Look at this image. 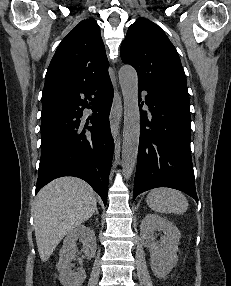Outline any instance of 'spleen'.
Listing matches in <instances>:
<instances>
[{
    "instance_id": "1",
    "label": "spleen",
    "mask_w": 231,
    "mask_h": 286,
    "mask_svg": "<svg viewBox=\"0 0 231 286\" xmlns=\"http://www.w3.org/2000/svg\"><path fill=\"white\" fill-rule=\"evenodd\" d=\"M146 202L155 212L178 215L185 213L189 206L187 198L181 191L166 187L151 190Z\"/></svg>"
}]
</instances>
